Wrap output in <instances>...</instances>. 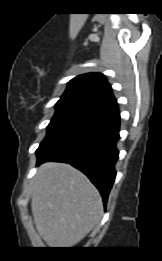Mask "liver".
Returning <instances> with one entry per match:
<instances>
[{
	"label": "liver",
	"instance_id": "liver-1",
	"mask_svg": "<svg viewBox=\"0 0 162 261\" xmlns=\"http://www.w3.org/2000/svg\"><path fill=\"white\" fill-rule=\"evenodd\" d=\"M31 210L36 230L49 247H72L99 223L102 200L80 171L49 162L36 174Z\"/></svg>",
	"mask_w": 162,
	"mask_h": 261
}]
</instances>
